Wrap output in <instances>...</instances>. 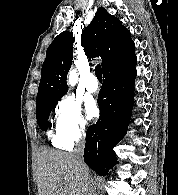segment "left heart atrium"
Segmentation results:
<instances>
[{
    "mask_svg": "<svg viewBox=\"0 0 178 195\" xmlns=\"http://www.w3.org/2000/svg\"><path fill=\"white\" fill-rule=\"evenodd\" d=\"M85 107H86L87 117L89 119H92L98 115L99 109H98V106H97L95 100H93V99L87 100L85 103Z\"/></svg>",
    "mask_w": 178,
    "mask_h": 195,
    "instance_id": "obj_1",
    "label": "left heart atrium"
}]
</instances>
